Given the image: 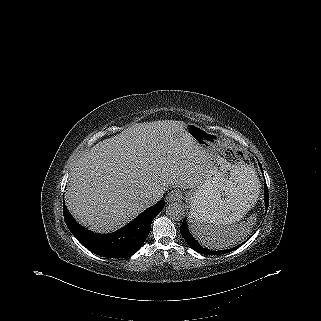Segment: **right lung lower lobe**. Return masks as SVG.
<instances>
[{
	"mask_svg": "<svg viewBox=\"0 0 321 321\" xmlns=\"http://www.w3.org/2000/svg\"><path fill=\"white\" fill-rule=\"evenodd\" d=\"M164 206L165 201L160 200L123 229L111 234H96L79 225L65 203L63 214L67 227L85 248L103 257L126 258L141 248L150 232L152 220Z\"/></svg>",
	"mask_w": 321,
	"mask_h": 321,
	"instance_id": "obj_1",
	"label": "right lung lower lobe"
}]
</instances>
